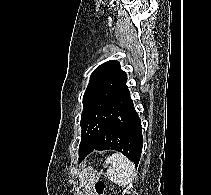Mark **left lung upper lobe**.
<instances>
[{
    "label": "left lung upper lobe",
    "mask_w": 211,
    "mask_h": 195,
    "mask_svg": "<svg viewBox=\"0 0 211 195\" xmlns=\"http://www.w3.org/2000/svg\"><path fill=\"white\" fill-rule=\"evenodd\" d=\"M126 81V73L115 60L101 64L92 73L83 96L79 158L95 147L107 124L132 101Z\"/></svg>",
    "instance_id": "1"
}]
</instances>
